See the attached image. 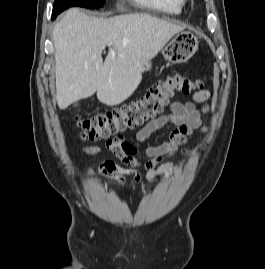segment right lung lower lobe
Listing matches in <instances>:
<instances>
[{"mask_svg":"<svg viewBox=\"0 0 265 269\" xmlns=\"http://www.w3.org/2000/svg\"><path fill=\"white\" fill-rule=\"evenodd\" d=\"M58 14L52 13V19H55Z\"/></svg>","mask_w":265,"mask_h":269,"instance_id":"98d812e1","label":"right lung lower lobe"}]
</instances>
